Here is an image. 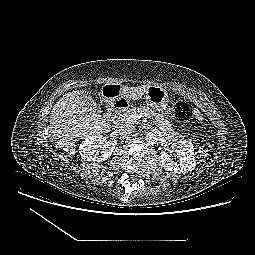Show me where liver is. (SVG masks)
<instances>
[{
	"instance_id": "6515ba94",
	"label": "liver",
	"mask_w": 255,
	"mask_h": 255,
	"mask_svg": "<svg viewBox=\"0 0 255 255\" xmlns=\"http://www.w3.org/2000/svg\"><path fill=\"white\" fill-rule=\"evenodd\" d=\"M150 85L138 87H122L126 99L139 100ZM93 101L91 93L76 90L65 93L53 106L48 129L56 141V146L62 147L70 154L75 153L76 142L89 136L108 133L110 122L89 107L87 102Z\"/></svg>"
}]
</instances>
